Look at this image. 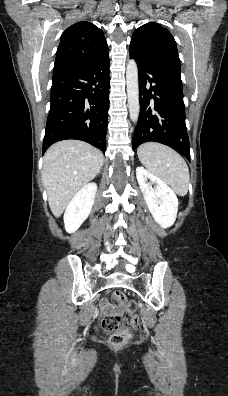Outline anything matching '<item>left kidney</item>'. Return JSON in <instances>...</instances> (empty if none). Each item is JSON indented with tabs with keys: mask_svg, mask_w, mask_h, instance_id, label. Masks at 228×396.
Returning <instances> with one entry per match:
<instances>
[{
	"mask_svg": "<svg viewBox=\"0 0 228 396\" xmlns=\"http://www.w3.org/2000/svg\"><path fill=\"white\" fill-rule=\"evenodd\" d=\"M136 177L154 220L162 228L172 226L178 211L175 192L163 180L141 166L136 168Z\"/></svg>",
	"mask_w": 228,
	"mask_h": 396,
	"instance_id": "1",
	"label": "left kidney"
}]
</instances>
